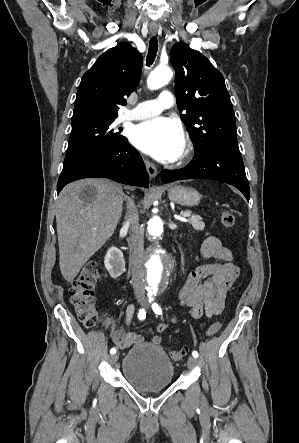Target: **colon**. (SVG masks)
Masks as SVG:
<instances>
[{"mask_svg": "<svg viewBox=\"0 0 299 443\" xmlns=\"http://www.w3.org/2000/svg\"><path fill=\"white\" fill-rule=\"evenodd\" d=\"M221 222L226 228H230L235 223V216L233 212L225 210L221 213ZM100 277L99 263L96 260L88 261L76 279L74 280L70 290V303L80 320V322L87 328H94L104 324L103 319L98 315L94 308V288ZM222 327L220 321L214 322L207 330L208 336H213ZM186 354V349H176L170 352L173 360L179 361L183 359Z\"/></svg>", "mask_w": 299, "mask_h": 443, "instance_id": "1", "label": "colon"}]
</instances>
